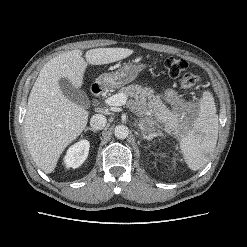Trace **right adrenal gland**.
<instances>
[{
    "label": "right adrenal gland",
    "instance_id": "1",
    "mask_svg": "<svg viewBox=\"0 0 247 247\" xmlns=\"http://www.w3.org/2000/svg\"><path fill=\"white\" fill-rule=\"evenodd\" d=\"M88 130H90V131H92L94 133H97V131L95 129H93V128H90V127L85 128V132L88 131Z\"/></svg>",
    "mask_w": 247,
    "mask_h": 247
}]
</instances>
